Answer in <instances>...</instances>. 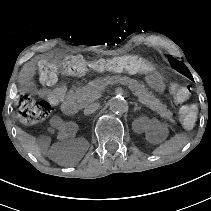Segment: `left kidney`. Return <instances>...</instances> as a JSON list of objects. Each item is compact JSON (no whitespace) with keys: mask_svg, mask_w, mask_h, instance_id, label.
<instances>
[{"mask_svg":"<svg viewBox=\"0 0 211 211\" xmlns=\"http://www.w3.org/2000/svg\"><path fill=\"white\" fill-rule=\"evenodd\" d=\"M148 126H150V121H149L148 124H147V127H148Z\"/></svg>","mask_w":211,"mask_h":211,"instance_id":"obj_1","label":"left kidney"}]
</instances>
